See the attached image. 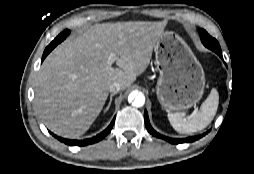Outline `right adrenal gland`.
I'll list each match as a JSON object with an SVG mask.
<instances>
[{"label": "right adrenal gland", "mask_w": 254, "mask_h": 174, "mask_svg": "<svg viewBox=\"0 0 254 174\" xmlns=\"http://www.w3.org/2000/svg\"><path fill=\"white\" fill-rule=\"evenodd\" d=\"M115 94H116V93H111L109 103H108L106 109L104 110V112H107V111L109 110V108H110V106H111V103H112V98H113V96H114Z\"/></svg>", "instance_id": "obj_1"}]
</instances>
